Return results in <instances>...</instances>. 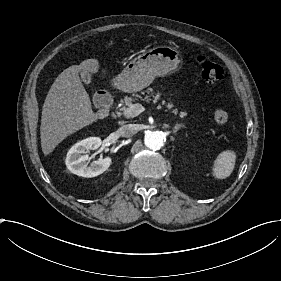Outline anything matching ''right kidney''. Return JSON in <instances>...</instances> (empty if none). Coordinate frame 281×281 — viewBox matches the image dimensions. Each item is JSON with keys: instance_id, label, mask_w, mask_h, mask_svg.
Wrapping results in <instances>:
<instances>
[{"instance_id": "1", "label": "right kidney", "mask_w": 281, "mask_h": 281, "mask_svg": "<svg viewBox=\"0 0 281 281\" xmlns=\"http://www.w3.org/2000/svg\"><path fill=\"white\" fill-rule=\"evenodd\" d=\"M101 144L102 141L99 137H89L72 146L65 159L68 170L73 174L87 178L98 176L106 171L111 164L110 157L100 158L88 166L89 157L87 154L83 155L89 150L98 149Z\"/></svg>"}]
</instances>
